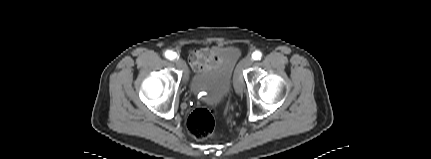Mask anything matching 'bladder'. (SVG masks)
I'll list each match as a JSON object with an SVG mask.
<instances>
[{"label":"bladder","instance_id":"1","mask_svg":"<svg viewBox=\"0 0 431 159\" xmlns=\"http://www.w3.org/2000/svg\"><path fill=\"white\" fill-rule=\"evenodd\" d=\"M220 63L190 79V90L207 105H217L227 99L233 88V73L240 57L236 47L220 49Z\"/></svg>","mask_w":431,"mask_h":159}]
</instances>
